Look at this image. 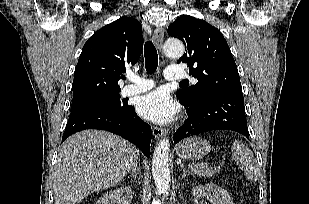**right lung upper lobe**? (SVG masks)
Instances as JSON below:
<instances>
[{
	"label": "right lung upper lobe",
	"instance_id": "right-lung-upper-lobe-1",
	"mask_svg": "<svg viewBox=\"0 0 309 204\" xmlns=\"http://www.w3.org/2000/svg\"><path fill=\"white\" fill-rule=\"evenodd\" d=\"M143 42L142 26L131 17H121L95 32L75 68L72 104L119 92L121 74L138 61Z\"/></svg>",
	"mask_w": 309,
	"mask_h": 204
}]
</instances>
